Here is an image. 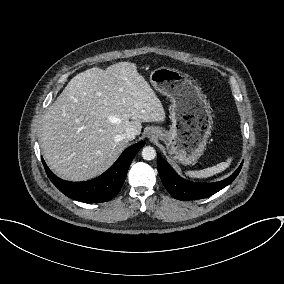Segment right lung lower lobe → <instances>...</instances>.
Instances as JSON below:
<instances>
[{"instance_id":"right-lung-lower-lobe-1","label":"right lung lower lobe","mask_w":284,"mask_h":284,"mask_svg":"<svg viewBox=\"0 0 284 284\" xmlns=\"http://www.w3.org/2000/svg\"><path fill=\"white\" fill-rule=\"evenodd\" d=\"M141 141L127 148L118 160L101 176L86 182H69L58 178L42 159L51 182L66 196L87 203H99L111 200L120 191L131 161L144 146Z\"/></svg>"}]
</instances>
